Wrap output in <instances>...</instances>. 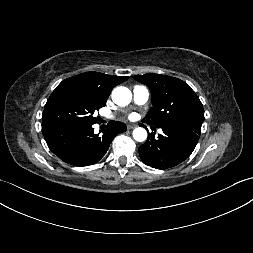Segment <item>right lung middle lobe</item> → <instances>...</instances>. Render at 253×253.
I'll return each instance as SVG.
<instances>
[{
    "instance_id": "obj_1",
    "label": "right lung middle lobe",
    "mask_w": 253,
    "mask_h": 253,
    "mask_svg": "<svg viewBox=\"0 0 253 253\" xmlns=\"http://www.w3.org/2000/svg\"><path fill=\"white\" fill-rule=\"evenodd\" d=\"M106 101L98 98L79 81H62L49 97L42 115V128L54 125H90L97 121L96 110Z\"/></svg>"
}]
</instances>
